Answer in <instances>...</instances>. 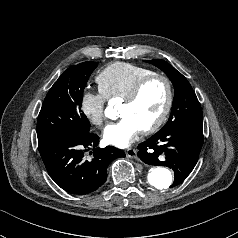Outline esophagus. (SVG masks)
Instances as JSON below:
<instances>
[{"mask_svg":"<svg viewBox=\"0 0 238 238\" xmlns=\"http://www.w3.org/2000/svg\"><path fill=\"white\" fill-rule=\"evenodd\" d=\"M126 156L129 158L137 159V150L133 148H129L125 151Z\"/></svg>","mask_w":238,"mask_h":238,"instance_id":"esophagus-1","label":"esophagus"}]
</instances>
